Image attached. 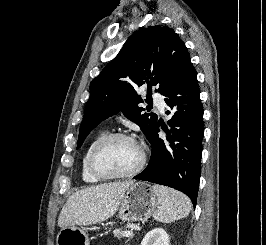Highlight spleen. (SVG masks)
Instances as JSON below:
<instances>
[{
    "mask_svg": "<svg viewBox=\"0 0 266 245\" xmlns=\"http://www.w3.org/2000/svg\"><path fill=\"white\" fill-rule=\"evenodd\" d=\"M152 189L158 199V207L153 215L155 221L174 223L188 217L192 203L186 195L160 185H153Z\"/></svg>",
    "mask_w": 266,
    "mask_h": 245,
    "instance_id": "3e777b00",
    "label": "spleen"
}]
</instances>
